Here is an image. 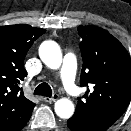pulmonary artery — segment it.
<instances>
[{
	"mask_svg": "<svg viewBox=\"0 0 131 131\" xmlns=\"http://www.w3.org/2000/svg\"><path fill=\"white\" fill-rule=\"evenodd\" d=\"M61 79L66 91L72 96L79 95V88L75 82L76 61L73 55L67 54L61 67Z\"/></svg>",
	"mask_w": 131,
	"mask_h": 131,
	"instance_id": "obj_1",
	"label": "pulmonary artery"
}]
</instances>
